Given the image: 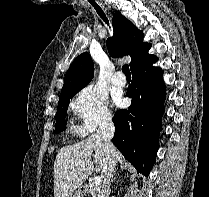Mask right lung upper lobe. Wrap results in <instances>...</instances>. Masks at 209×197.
Segmentation results:
<instances>
[{
    "label": "right lung upper lobe",
    "instance_id": "obj_1",
    "mask_svg": "<svg viewBox=\"0 0 209 197\" xmlns=\"http://www.w3.org/2000/svg\"><path fill=\"white\" fill-rule=\"evenodd\" d=\"M114 39H107V48L112 57L130 55V68L152 57L148 53L151 44L143 42L144 34L135 25L116 12L112 19ZM94 76V65L89 53L79 55L68 69L60 96L71 89L85 87Z\"/></svg>",
    "mask_w": 209,
    "mask_h": 197
}]
</instances>
